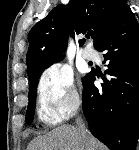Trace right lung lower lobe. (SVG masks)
I'll list each match as a JSON object with an SVG mask.
<instances>
[{
	"mask_svg": "<svg viewBox=\"0 0 139 150\" xmlns=\"http://www.w3.org/2000/svg\"><path fill=\"white\" fill-rule=\"evenodd\" d=\"M108 69L102 89L96 73L83 79L82 107L91 133L110 150H135L139 136V25L131 10L96 48Z\"/></svg>",
	"mask_w": 139,
	"mask_h": 150,
	"instance_id": "right-lung-lower-lobe-1",
	"label": "right lung lower lobe"
}]
</instances>
